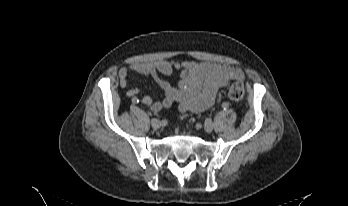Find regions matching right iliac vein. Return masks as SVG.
<instances>
[{
  "label": "right iliac vein",
  "mask_w": 348,
  "mask_h": 206,
  "mask_svg": "<svg viewBox=\"0 0 348 206\" xmlns=\"http://www.w3.org/2000/svg\"><path fill=\"white\" fill-rule=\"evenodd\" d=\"M151 125L154 129H159L161 127V122L158 119H152Z\"/></svg>",
  "instance_id": "obj_1"
}]
</instances>
